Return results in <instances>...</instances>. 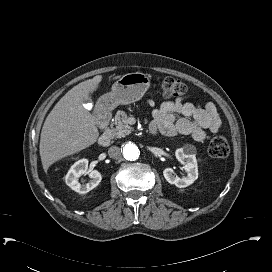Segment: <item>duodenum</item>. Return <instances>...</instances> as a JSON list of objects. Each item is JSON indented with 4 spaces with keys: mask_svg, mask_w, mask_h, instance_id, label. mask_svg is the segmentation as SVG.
<instances>
[{
    "mask_svg": "<svg viewBox=\"0 0 272 272\" xmlns=\"http://www.w3.org/2000/svg\"><path fill=\"white\" fill-rule=\"evenodd\" d=\"M96 120L101 126L102 134L98 139V144L101 147L108 146L111 143V134L109 132V123L111 120V113L107 106H104L96 111ZM158 132L157 125L152 123L149 127V134L155 136Z\"/></svg>",
    "mask_w": 272,
    "mask_h": 272,
    "instance_id": "1",
    "label": "duodenum"
}]
</instances>
